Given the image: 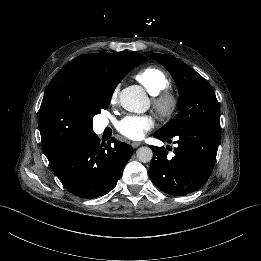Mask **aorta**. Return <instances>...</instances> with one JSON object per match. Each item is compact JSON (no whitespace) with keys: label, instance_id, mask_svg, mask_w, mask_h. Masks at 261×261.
Returning a JSON list of instances; mask_svg holds the SVG:
<instances>
[{"label":"aorta","instance_id":"762f6f07","mask_svg":"<svg viewBox=\"0 0 261 261\" xmlns=\"http://www.w3.org/2000/svg\"><path fill=\"white\" fill-rule=\"evenodd\" d=\"M119 100L124 109L135 113L147 111L150 105L149 98L142 89L137 91L134 86H129L121 90ZM136 156L140 162L148 163L152 160L153 152L151 148L144 146L137 150Z\"/></svg>","mask_w":261,"mask_h":261}]
</instances>
